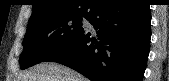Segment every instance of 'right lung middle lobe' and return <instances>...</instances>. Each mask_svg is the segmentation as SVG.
<instances>
[{"instance_id": "right-lung-middle-lobe-1", "label": "right lung middle lobe", "mask_w": 169, "mask_h": 81, "mask_svg": "<svg viewBox=\"0 0 169 81\" xmlns=\"http://www.w3.org/2000/svg\"><path fill=\"white\" fill-rule=\"evenodd\" d=\"M83 17L86 18L84 15L58 16L29 23L23 40L20 68L43 62L69 44L83 30Z\"/></svg>"}]
</instances>
